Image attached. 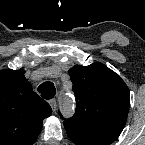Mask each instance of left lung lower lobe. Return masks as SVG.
I'll return each instance as SVG.
<instances>
[{
	"instance_id": "obj_1",
	"label": "left lung lower lobe",
	"mask_w": 145,
	"mask_h": 145,
	"mask_svg": "<svg viewBox=\"0 0 145 145\" xmlns=\"http://www.w3.org/2000/svg\"><path fill=\"white\" fill-rule=\"evenodd\" d=\"M70 139L76 145H108L115 141L123 130L117 126H86L64 124Z\"/></svg>"
}]
</instances>
